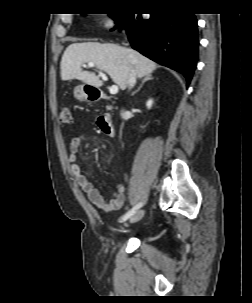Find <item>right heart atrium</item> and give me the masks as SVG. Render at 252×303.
Instances as JSON below:
<instances>
[{
  "instance_id": "1",
  "label": "right heart atrium",
  "mask_w": 252,
  "mask_h": 303,
  "mask_svg": "<svg viewBox=\"0 0 252 303\" xmlns=\"http://www.w3.org/2000/svg\"><path fill=\"white\" fill-rule=\"evenodd\" d=\"M102 26L106 29H114L117 27L116 21L112 17H103L101 19Z\"/></svg>"
}]
</instances>
